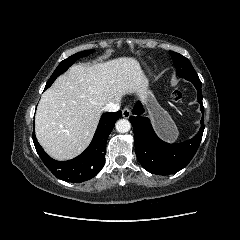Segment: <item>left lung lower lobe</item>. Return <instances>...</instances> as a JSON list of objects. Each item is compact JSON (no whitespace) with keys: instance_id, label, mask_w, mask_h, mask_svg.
Segmentation results:
<instances>
[{"instance_id":"0a47b994","label":"left lung lower lobe","mask_w":240,"mask_h":240,"mask_svg":"<svg viewBox=\"0 0 240 240\" xmlns=\"http://www.w3.org/2000/svg\"><path fill=\"white\" fill-rule=\"evenodd\" d=\"M193 83L198 92L202 118L199 132L191 139L179 144H168L160 140L147 117H143L144 109L137 102L129 118L135 141V153L142 167L150 173L157 175L173 174L185 167L193 158L202 140L204 131V107L202 103L201 81L187 79Z\"/></svg>"}]
</instances>
